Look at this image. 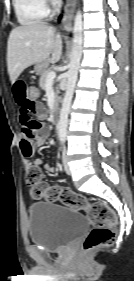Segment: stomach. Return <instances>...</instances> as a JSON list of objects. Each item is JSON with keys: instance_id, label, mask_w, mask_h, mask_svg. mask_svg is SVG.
Returning <instances> with one entry per match:
<instances>
[{"instance_id": "1", "label": "stomach", "mask_w": 134, "mask_h": 281, "mask_svg": "<svg viewBox=\"0 0 134 281\" xmlns=\"http://www.w3.org/2000/svg\"><path fill=\"white\" fill-rule=\"evenodd\" d=\"M47 68V63H44V62H42V63H37V64H35V71L37 72V73H41L43 70H45Z\"/></svg>"}]
</instances>
